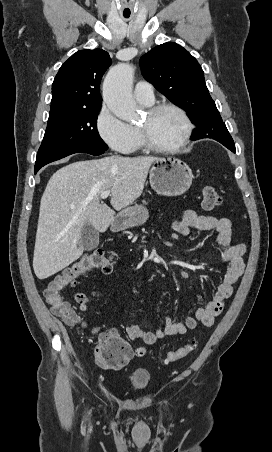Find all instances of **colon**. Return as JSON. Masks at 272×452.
<instances>
[{"label":"colon","mask_w":272,"mask_h":452,"mask_svg":"<svg viewBox=\"0 0 272 452\" xmlns=\"http://www.w3.org/2000/svg\"><path fill=\"white\" fill-rule=\"evenodd\" d=\"M222 203L220 193L211 186L202 190V206L205 210H212ZM98 270L104 275L113 271V261L110 256L100 252L83 255L71 263L50 282L44 290L45 300L53 314L56 316L69 315L71 306L62 298V291L86 273ZM196 348L194 342L169 352L165 363H172L186 358ZM146 350L142 346L134 349V354L143 356ZM130 359L129 348L126 342L119 337L102 334L98 339V346L94 352L96 364L104 369L117 370L122 368Z\"/></svg>","instance_id":"colon-1"}]
</instances>
